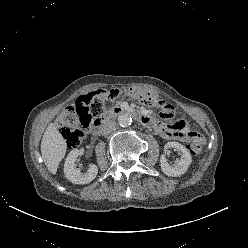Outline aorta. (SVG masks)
I'll use <instances>...</instances> for the list:
<instances>
[{
  "label": "aorta",
  "instance_id": "1",
  "mask_svg": "<svg viewBox=\"0 0 248 248\" xmlns=\"http://www.w3.org/2000/svg\"><path fill=\"white\" fill-rule=\"evenodd\" d=\"M118 122H119L120 126L127 127V126L131 125L132 118L128 114H121L118 117Z\"/></svg>",
  "mask_w": 248,
  "mask_h": 248
}]
</instances>
